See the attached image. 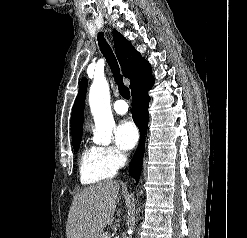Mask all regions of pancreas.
I'll return each mask as SVG.
<instances>
[{
    "mask_svg": "<svg viewBox=\"0 0 247 238\" xmlns=\"http://www.w3.org/2000/svg\"><path fill=\"white\" fill-rule=\"evenodd\" d=\"M100 238H110V236L108 233H103Z\"/></svg>",
    "mask_w": 247,
    "mask_h": 238,
    "instance_id": "obj_1",
    "label": "pancreas"
}]
</instances>
